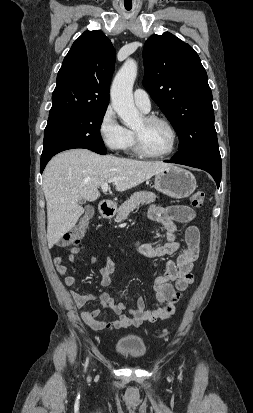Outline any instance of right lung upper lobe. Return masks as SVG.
I'll return each instance as SVG.
<instances>
[{"label":"right lung upper lobe","instance_id":"cb5924a9","mask_svg":"<svg viewBox=\"0 0 253 413\" xmlns=\"http://www.w3.org/2000/svg\"><path fill=\"white\" fill-rule=\"evenodd\" d=\"M115 49L100 30L85 31L73 43L57 75L49 115L107 109Z\"/></svg>","mask_w":253,"mask_h":413}]
</instances>
